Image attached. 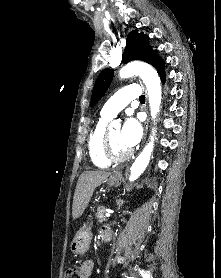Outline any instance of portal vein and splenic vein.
Returning <instances> with one entry per match:
<instances>
[{"label":"portal vein and splenic vein","mask_w":221,"mask_h":278,"mask_svg":"<svg viewBox=\"0 0 221 278\" xmlns=\"http://www.w3.org/2000/svg\"><path fill=\"white\" fill-rule=\"evenodd\" d=\"M111 213H113V211H111V210H110V211H106L105 216H106V217H110V216H111Z\"/></svg>","instance_id":"1"}]
</instances>
